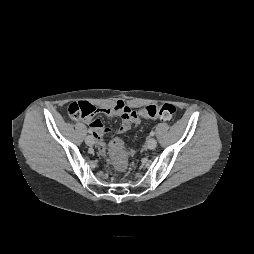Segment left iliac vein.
Wrapping results in <instances>:
<instances>
[{"label": "left iliac vein", "instance_id": "left-iliac-vein-1", "mask_svg": "<svg viewBox=\"0 0 254 254\" xmlns=\"http://www.w3.org/2000/svg\"><path fill=\"white\" fill-rule=\"evenodd\" d=\"M146 146H147V148L150 149V150L155 149V147L157 146V141H156V139L153 138V137L148 138V140H147V142H146Z\"/></svg>", "mask_w": 254, "mask_h": 254}]
</instances>
